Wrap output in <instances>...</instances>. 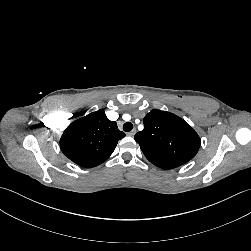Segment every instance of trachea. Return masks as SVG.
Listing matches in <instances>:
<instances>
[{
  "mask_svg": "<svg viewBox=\"0 0 251 251\" xmlns=\"http://www.w3.org/2000/svg\"><path fill=\"white\" fill-rule=\"evenodd\" d=\"M133 129V124L131 122H126L124 125H123V130L126 131V132H129Z\"/></svg>",
  "mask_w": 251,
  "mask_h": 251,
  "instance_id": "3493384b",
  "label": "trachea"
}]
</instances>
